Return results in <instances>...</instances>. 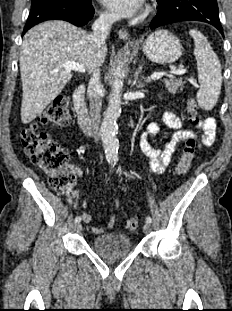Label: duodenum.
<instances>
[{
    "label": "duodenum",
    "mask_w": 232,
    "mask_h": 311,
    "mask_svg": "<svg viewBox=\"0 0 232 311\" xmlns=\"http://www.w3.org/2000/svg\"><path fill=\"white\" fill-rule=\"evenodd\" d=\"M85 91V86L79 85L72 94V101L79 125L85 132L90 133L92 131V119L84 101Z\"/></svg>",
    "instance_id": "410a0bca"
}]
</instances>
